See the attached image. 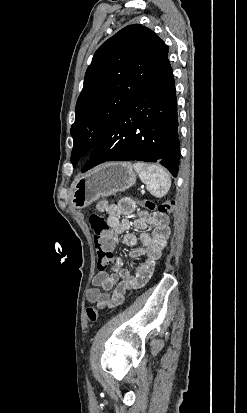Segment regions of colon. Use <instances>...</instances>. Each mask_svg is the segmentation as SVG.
Instances as JSON below:
<instances>
[{
  "label": "colon",
  "mask_w": 247,
  "mask_h": 413,
  "mask_svg": "<svg viewBox=\"0 0 247 413\" xmlns=\"http://www.w3.org/2000/svg\"><path fill=\"white\" fill-rule=\"evenodd\" d=\"M134 206L141 205L146 210H155L156 204L150 199H134ZM157 210L160 216L170 217L174 210V201L163 200L158 206ZM88 221L91 223V227L94 229L95 244L98 251V263L100 265L112 264V252L114 246L111 244L110 237H106L108 232V222L100 215L90 214ZM85 315L90 325H94L99 320V311L95 306H88L85 308Z\"/></svg>",
  "instance_id": "1"
}]
</instances>
